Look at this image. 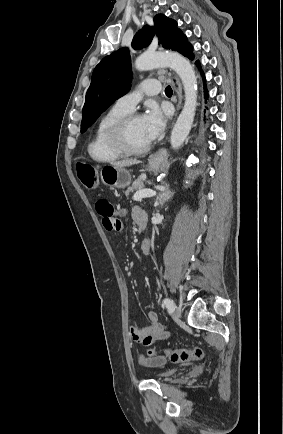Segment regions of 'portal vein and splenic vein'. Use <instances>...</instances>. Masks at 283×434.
I'll return each mask as SVG.
<instances>
[{
	"instance_id": "portal-vein-and-splenic-vein-1",
	"label": "portal vein and splenic vein",
	"mask_w": 283,
	"mask_h": 434,
	"mask_svg": "<svg viewBox=\"0 0 283 434\" xmlns=\"http://www.w3.org/2000/svg\"><path fill=\"white\" fill-rule=\"evenodd\" d=\"M156 192L150 189H143V190H139L137 191L134 196L133 199L135 201H142L143 198H147V197H152L155 196Z\"/></svg>"
}]
</instances>
